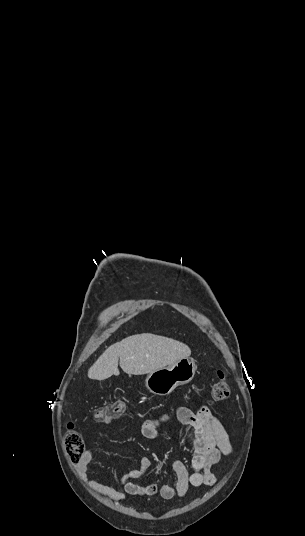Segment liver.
Listing matches in <instances>:
<instances>
[{
	"instance_id": "1",
	"label": "liver",
	"mask_w": 305,
	"mask_h": 536,
	"mask_svg": "<svg viewBox=\"0 0 305 536\" xmlns=\"http://www.w3.org/2000/svg\"><path fill=\"white\" fill-rule=\"evenodd\" d=\"M190 354V348L177 340L154 334H137L109 346L89 368L88 378L107 380L111 376H119L118 362L123 372L129 376L151 374L182 358H189Z\"/></svg>"
}]
</instances>
